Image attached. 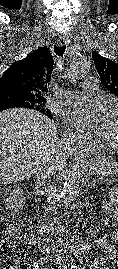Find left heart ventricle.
<instances>
[{"label":"left heart ventricle","mask_w":118,"mask_h":269,"mask_svg":"<svg viewBox=\"0 0 118 269\" xmlns=\"http://www.w3.org/2000/svg\"><path fill=\"white\" fill-rule=\"evenodd\" d=\"M99 135L103 141L118 143V112L107 114Z\"/></svg>","instance_id":"1"}]
</instances>
